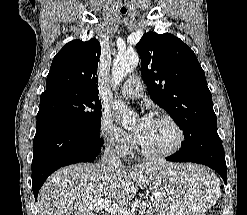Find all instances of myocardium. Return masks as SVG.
Masks as SVG:
<instances>
[{"instance_id":"1","label":"myocardium","mask_w":247,"mask_h":215,"mask_svg":"<svg viewBox=\"0 0 247 215\" xmlns=\"http://www.w3.org/2000/svg\"><path fill=\"white\" fill-rule=\"evenodd\" d=\"M153 118L166 121L169 123L177 134V141L172 148L163 152H151L142 146L137 136L135 137V145L138 152L145 158L150 160H162L175 155L183 146L185 141V133L180 124L167 113H155Z\"/></svg>"}]
</instances>
